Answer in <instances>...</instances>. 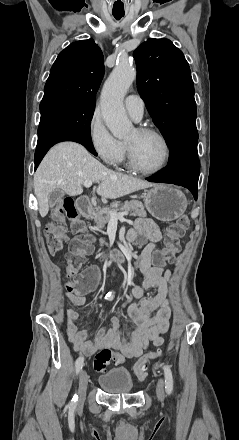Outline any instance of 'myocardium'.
Returning <instances> with one entry per match:
<instances>
[{
	"instance_id": "f54148a6",
	"label": "myocardium",
	"mask_w": 239,
	"mask_h": 440,
	"mask_svg": "<svg viewBox=\"0 0 239 440\" xmlns=\"http://www.w3.org/2000/svg\"><path fill=\"white\" fill-rule=\"evenodd\" d=\"M137 131L142 134H153V135L157 136L158 138H160V140L163 142L164 147H165V158H164V161L161 164V166H159L158 168H156L154 170L144 169L138 164L134 150L126 142V150H127V157H128L129 166L131 167L132 170H134L140 174H143V175H156V174L161 173L163 170L166 169V167L168 166L170 159H171L172 149H171L170 141L168 140V138L166 137V135L163 132H161L160 130H158L157 128H154V127L140 126L137 128Z\"/></svg>"
}]
</instances>
